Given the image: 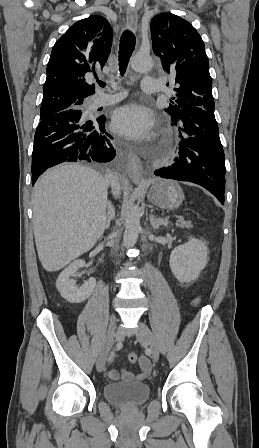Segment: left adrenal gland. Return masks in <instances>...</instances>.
Returning <instances> with one entry per match:
<instances>
[{
    "instance_id": "left-adrenal-gland-1",
    "label": "left adrenal gland",
    "mask_w": 259,
    "mask_h": 448,
    "mask_svg": "<svg viewBox=\"0 0 259 448\" xmlns=\"http://www.w3.org/2000/svg\"><path fill=\"white\" fill-rule=\"evenodd\" d=\"M150 222L152 228L154 230H159L160 226H164V228H168V220H165V218H155L153 214L150 216Z\"/></svg>"
}]
</instances>
